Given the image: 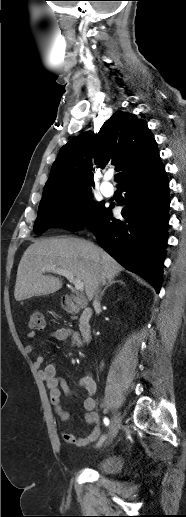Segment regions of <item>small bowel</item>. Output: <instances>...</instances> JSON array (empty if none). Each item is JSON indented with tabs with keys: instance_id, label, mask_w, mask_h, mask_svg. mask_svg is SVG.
<instances>
[{
	"instance_id": "c3829d8e",
	"label": "small bowel",
	"mask_w": 186,
	"mask_h": 517,
	"mask_svg": "<svg viewBox=\"0 0 186 517\" xmlns=\"http://www.w3.org/2000/svg\"><path fill=\"white\" fill-rule=\"evenodd\" d=\"M50 336L54 340H69L71 346L73 347L80 348L83 346L80 334L72 328L63 327L56 329L51 332ZM26 337L28 340H33L35 334L33 332H28ZM25 350L27 353L31 354L34 351V348L32 345H27L25 347ZM43 363V357H35L34 365L37 369H39V375L47 385L51 404L55 408V411L57 412L61 420L67 422L70 419V414L62 407L61 394L62 392L67 396H74L75 394L70 389L67 382L64 379L57 376L56 364L50 363L45 367L41 368ZM77 384L79 387H82L85 390V396L83 400V408L85 410L84 420L86 424L90 427V431L85 437H77L74 434L65 431L62 433V438L68 444H72L77 447H82L95 442L100 437L99 416L95 412V394L97 386L93 376L90 373H85L79 379Z\"/></svg>"
}]
</instances>
